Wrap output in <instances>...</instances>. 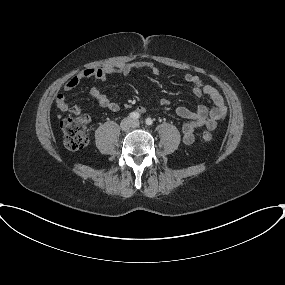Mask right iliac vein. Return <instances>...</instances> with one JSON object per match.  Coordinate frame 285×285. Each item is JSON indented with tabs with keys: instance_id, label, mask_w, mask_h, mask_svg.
<instances>
[{
	"instance_id": "63e3f726",
	"label": "right iliac vein",
	"mask_w": 285,
	"mask_h": 285,
	"mask_svg": "<svg viewBox=\"0 0 285 285\" xmlns=\"http://www.w3.org/2000/svg\"><path fill=\"white\" fill-rule=\"evenodd\" d=\"M131 126H132V120L129 118L123 119L120 123V129L122 131H128Z\"/></svg>"
}]
</instances>
